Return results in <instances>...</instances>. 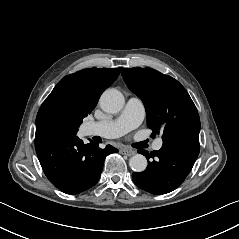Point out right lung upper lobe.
<instances>
[{"mask_svg":"<svg viewBox=\"0 0 239 239\" xmlns=\"http://www.w3.org/2000/svg\"><path fill=\"white\" fill-rule=\"evenodd\" d=\"M120 71L121 68H91L65 76L46 98L39 112L47 104L57 99L72 102L91 112L95 108L102 91L116 80Z\"/></svg>","mask_w":239,"mask_h":239,"instance_id":"1","label":"right lung upper lobe"}]
</instances>
